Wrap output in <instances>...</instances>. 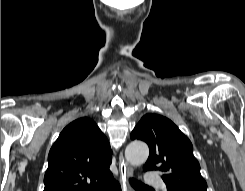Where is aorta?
Instances as JSON below:
<instances>
[{"label": "aorta", "instance_id": "1", "mask_svg": "<svg viewBox=\"0 0 245 191\" xmlns=\"http://www.w3.org/2000/svg\"><path fill=\"white\" fill-rule=\"evenodd\" d=\"M149 156V148L141 141L131 142L125 150L126 160L135 166L143 164Z\"/></svg>", "mask_w": 245, "mask_h": 191}]
</instances>
